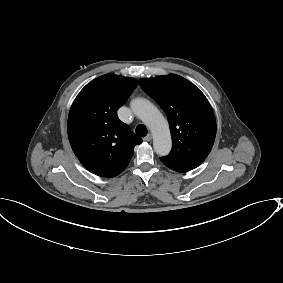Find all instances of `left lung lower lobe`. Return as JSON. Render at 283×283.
I'll return each instance as SVG.
<instances>
[{"mask_svg":"<svg viewBox=\"0 0 283 283\" xmlns=\"http://www.w3.org/2000/svg\"><path fill=\"white\" fill-rule=\"evenodd\" d=\"M160 160L162 161L163 164H165L167 167H169L170 169L177 171V172H187L190 170V168H186L184 166H180L174 163H171L169 161H166L163 157L160 158Z\"/></svg>","mask_w":283,"mask_h":283,"instance_id":"obj_1","label":"left lung lower lobe"}]
</instances>
